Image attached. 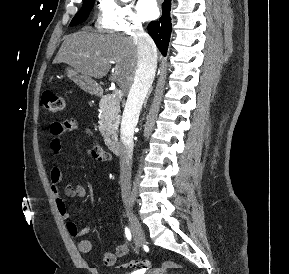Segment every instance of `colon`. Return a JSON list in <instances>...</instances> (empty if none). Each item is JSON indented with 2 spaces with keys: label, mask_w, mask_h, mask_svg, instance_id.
Masks as SVG:
<instances>
[{
  "label": "colon",
  "mask_w": 289,
  "mask_h": 274,
  "mask_svg": "<svg viewBox=\"0 0 289 274\" xmlns=\"http://www.w3.org/2000/svg\"><path fill=\"white\" fill-rule=\"evenodd\" d=\"M41 103L42 106L47 111L53 114L62 111L65 107L64 97L51 91H45L42 94ZM149 266L150 263L146 259H136L122 265L123 268H131L139 272L146 271L149 268ZM176 268H179V265L172 261H166L162 266V269H176Z\"/></svg>",
  "instance_id": "1"
}]
</instances>
